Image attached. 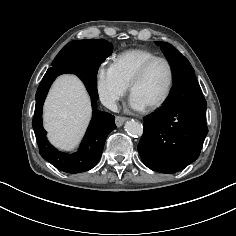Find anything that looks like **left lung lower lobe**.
Returning a JSON list of instances; mask_svg holds the SVG:
<instances>
[{
	"mask_svg": "<svg viewBox=\"0 0 236 236\" xmlns=\"http://www.w3.org/2000/svg\"><path fill=\"white\" fill-rule=\"evenodd\" d=\"M207 103L194 74L180 78L161 108L145 117L138 144L143 163L161 173H175L194 162L208 133Z\"/></svg>",
	"mask_w": 236,
	"mask_h": 236,
	"instance_id": "obj_1",
	"label": "left lung lower lobe"
}]
</instances>
